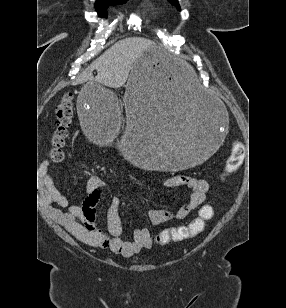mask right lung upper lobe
<instances>
[{
	"label": "right lung upper lobe",
	"instance_id": "obj_1",
	"mask_svg": "<svg viewBox=\"0 0 286 308\" xmlns=\"http://www.w3.org/2000/svg\"><path fill=\"white\" fill-rule=\"evenodd\" d=\"M116 1H124V0H98L96 2V5H103V4H108V3L116 2Z\"/></svg>",
	"mask_w": 286,
	"mask_h": 308
}]
</instances>
